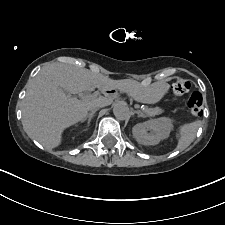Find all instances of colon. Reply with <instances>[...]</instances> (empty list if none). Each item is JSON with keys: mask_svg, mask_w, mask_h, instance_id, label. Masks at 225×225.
Returning <instances> with one entry per match:
<instances>
[{"mask_svg": "<svg viewBox=\"0 0 225 225\" xmlns=\"http://www.w3.org/2000/svg\"><path fill=\"white\" fill-rule=\"evenodd\" d=\"M189 89L190 83L186 80H177L172 86L173 93L177 96L185 94ZM187 107L193 115L200 114L203 109L202 95L199 92H193L187 101Z\"/></svg>", "mask_w": 225, "mask_h": 225, "instance_id": "1", "label": "colon"}]
</instances>
